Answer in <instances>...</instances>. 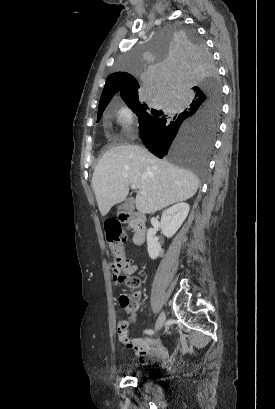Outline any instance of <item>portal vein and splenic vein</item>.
<instances>
[{
    "label": "portal vein and splenic vein",
    "mask_w": 275,
    "mask_h": 409,
    "mask_svg": "<svg viewBox=\"0 0 275 409\" xmlns=\"http://www.w3.org/2000/svg\"><path fill=\"white\" fill-rule=\"evenodd\" d=\"M132 188H136L135 184H131ZM141 194H146V192H144V190H141Z\"/></svg>",
    "instance_id": "18ae733b"
}]
</instances>
